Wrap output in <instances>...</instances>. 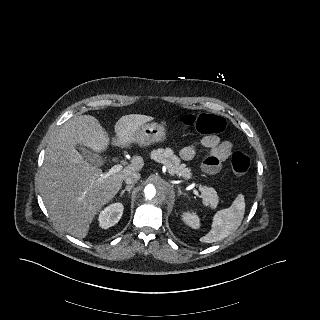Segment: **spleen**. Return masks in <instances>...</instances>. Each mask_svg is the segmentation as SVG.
Segmentation results:
<instances>
[{"mask_svg": "<svg viewBox=\"0 0 320 320\" xmlns=\"http://www.w3.org/2000/svg\"><path fill=\"white\" fill-rule=\"evenodd\" d=\"M245 214V200L239 194L231 206L219 210L212 220L211 230L208 234L200 238L202 243H213L221 241L231 235L241 225Z\"/></svg>", "mask_w": 320, "mask_h": 320, "instance_id": "1", "label": "spleen"}]
</instances>
